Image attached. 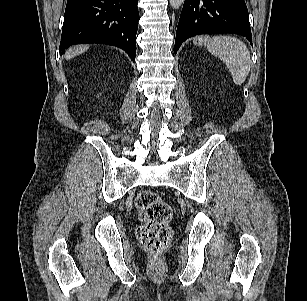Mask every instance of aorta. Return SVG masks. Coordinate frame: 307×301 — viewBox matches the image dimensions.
<instances>
[{
    "instance_id": "aorta-1",
    "label": "aorta",
    "mask_w": 307,
    "mask_h": 301,
    "mask_svg": "<svg viewBox=\"0 0 307 301\" xmlns=\"http://www.w3.org/2000/svg\"><path fill=\"white\" fill-rule=\"evenodd\" d=\"M171 7L178 9L184 2V0H169Z\"/></svg>"
}]
</instances>
